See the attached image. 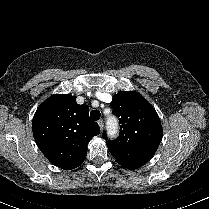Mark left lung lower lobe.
I'll return each mask as SVG.
<instances>
[{"instance_id":"obj_1","label":"left lung lower lobe","mask_w":209,"mask_h":209,"mask_svg":"<svg viewBox=\"0 0 209 209\" xmlns=\"http://www.w3.org/2000/svg\"><path fill=\"white\" fill-rule=\"evenodd\" d=\"M124 167L132 170V169L139 168L140 166H137V165H126Z\"/></svg>"}]
</instances>
